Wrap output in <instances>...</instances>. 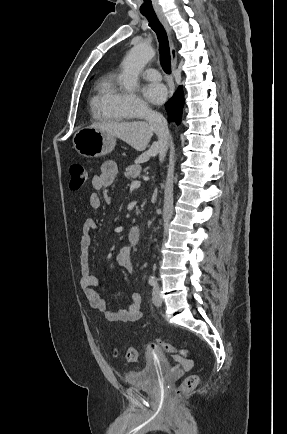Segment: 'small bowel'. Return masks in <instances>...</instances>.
<instances>
[{
    "instance_id": "1",
    "label": "small bowel",
    "mask_w": 287,
    "mask_h": 434,
    "mask_svg": "<svg viewBox=\"0 0 287 434\" xmlns=\"http://www.w3.org/2000/svg\"><path fill=\"white\" fill-rule=\"evenodd\" d=\"M117 175V165L114 161H104L100 167V173L95 174L91 178V186L97 191H106L114 182ZM88 206L92 210H98L102 206V198L98 193H91L88 197ZM99 229L98 224L94 219L85 220L82 233L79 237L80 256V286L88 300L90 307L94 310L102 312L106 319L110 322H133L141 317V295L137 292L131 295L130 305L122 311L110 310L105 300L94 290L95 286L103 283L101 277L91 274L89 267V250L91 246V232ZM115 264L124 270L130 272L132 270L131 248L124 247L115 257ZM186 370L193 366V362H185L183 364Z\"/></svg>"
}]
</instances>
